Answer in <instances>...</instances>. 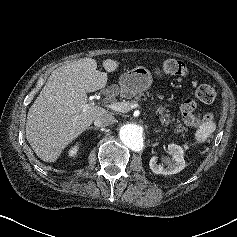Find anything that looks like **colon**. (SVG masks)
Here are the masks:
<instances>
[{"label": "colon", "instance_id": "5ec220e1", "mask_svg": "<svg viewBox=\"0 0 237 237\" xmlns=\"http://www.w3.org/2000/svg\"><path fill=\"white\" fill-rule=\"evenodd\" d=\"M162 68L165 73L174 76H186L189 74L187 66L176 59H167L162 63ZM194 96L201 102L210 104L216 99V91L209 85H200L194 92ZM197 103L193 96L186 97L180 106L183 122L189 127H197L200 123L198 117L195 115ZM211 115H207L205 119H211Z\"/></svg>", "mask_w": 237, "mask_h": 237}]
</instances>
